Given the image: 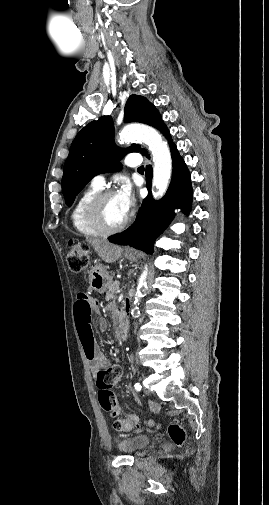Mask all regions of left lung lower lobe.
<instances>
[{
    "mask_svg": "<svg viewBox=\"0 0 269 505\" xmlns=\"http://www.w3.org/2000/svg\"><path fill=\"white\" fill-rule=\"evenodd\" d=\"M154 127L160 129L166 136L171 147L173 173L170 186L161 200L154 201L151 196L152 167L151 165L146 166V186L149 194L144 199L133 225L123 233L110 239L112 243L130 245L148 253L153 252L155 240L174 218L173 210L181 208L184 212L190 211L193 195L189 171L172 142L166 126L159 119ZM144 155H147V153ZM147 157L149 156L147 155Z\"/></svg>",
    "mask_w": 269,
    "mask_h": 505,
    "instance_id": "0a47b994",
    "label": "left lung lower lobe"
}]
</instances>
